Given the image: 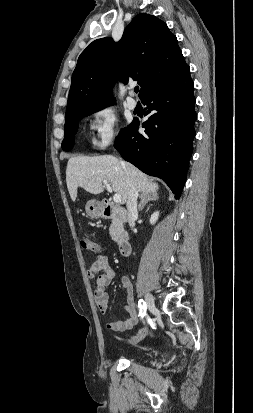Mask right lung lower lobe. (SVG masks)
Instances as JSON below:
<instances>
[{"label": "right lung lower lobe", "mask_w": 253, "mask_h": 413, "mask_svg": "<svg viewBox=\"0 0 253 413\" xmlns=\"http://www.w3.org/2000/svg\"><path fill=\"white\" fill-rule=\"evenodd\" d=\"M194 83L189 67L173 82L152 90L142 97L151 114L138 132L139 121H133L116 139L114 147L126 161L144 173L164 180L180 198L186 182L192 141L195 137Z\"/></svg>", "instance_id": "1"}]
</instances>
